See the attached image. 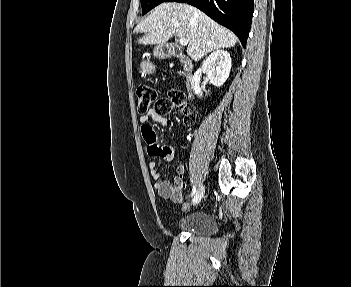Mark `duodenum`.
Listing matches in <instances>:
<instances>
[{"instance_id":"1","label":"duodenum","mask_w":351,"mask_h":287,"mask_svg":"<svg viewBox=\"0 0 351 287\" xmlns=\"http://www.w3.org/2000/svg\"><path fill=\"white\" fill-rule=\"evenodd\" d=\"M158 55L160 57H166V58H179L181 63L184 66V70L186 72V75L189 74L190 70H191V62L188 59V57H186L185 55H183L181 53V51L179 50L178 47L170 44V45H165L162 46L158 49Z\"/></svg>"}]
</instances>
